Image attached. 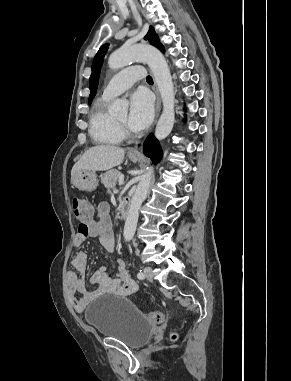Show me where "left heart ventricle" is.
<instances>
[{"mask_svg":"<svg viewBox=\"0 0 291 381\" xmlns=\"http://www.w3.org/2000/svg\"><path fill=\"white\" fill-rule=\"evenodd\" d=\"M117 120L128 125V113L125 112V113L121 114L120 116L117 117Z\"/></svg>","mask_w":291,"mask_h":381,"instance_id":"b2bd125f","label":"left heart ventricle"}]
</instances>
